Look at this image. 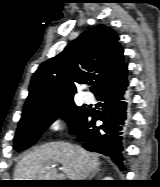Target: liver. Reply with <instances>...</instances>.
Returning a JSON list of instances; mask_svg holds the SVG:
<instances>
[{"label":"liver","instance_id":"1","mask_svg":"<svg viewBox=\"0 0 160 187\" xmlns=\"http://www.w3.org/2000/svg\"><path fill=\"white\" fill-rule=\"evenodd\" d=\"M62 165L68 180H83L99 166L97 154L65 142H48L35 147L17 163L15 180H57L56 166Z\"/></svg>","mask_w":160,"mask_h":187}]
</instances>
